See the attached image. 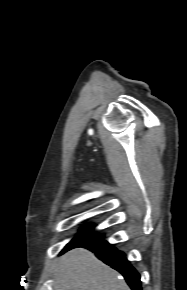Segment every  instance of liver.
<instances>
[{
	"mask_svg": "<svg viewBox=\"0 0 187 290\" xmlns=\"http://www.w3.org/2000/svg\"><path fill=\"white\" fill-rule=\"evenodd\" d=\"M53 278V290H130L117 271L83 248L63 255Z\"/></svg>",
	"mask_w": 187,
	"mask_h": 290,
	"instance_id": "liver-1",
	"label": "liver"
}]
</instances>
